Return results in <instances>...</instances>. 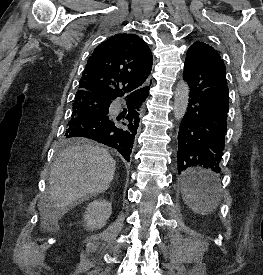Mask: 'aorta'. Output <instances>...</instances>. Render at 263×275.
<instances>
[{
    "label": "aorta",
    "mask_w": 263,
    "mask_h": 275,
    "mask_svg": "<svg viewBox=\"0 0 263 275\" xmlns=\"http://www.w3.org/2000/svg\"><path fill=\"white\" fill-rule=\"evenodd\" d=\"M189 103V87L184 80H180L174 92L173 112L177 121L181 120L186 113Z\"/></svg>",
    "instance_id": "aorta-1"
}]
</instances>
